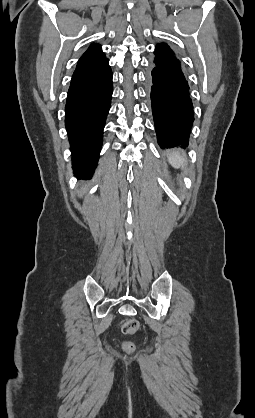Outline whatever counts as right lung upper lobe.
<instances>
[{
    "label": "right lung upper lobe",
    "mask_w": 255,
    "mask_h": 418,
    "mask_svg": "<svg viewBox=\"0 0 255 418\" xmlns=\"http://www.w3.org/2000/svg\"><path fill=\"white\" fill-rule=\"evenodd\" d=\"M105 56L102 52L101 46L98 44H92L87 51L81 56L78 63H86Z\"/></svg>",
    "instance_id": "obj_1"
}]
</instances>
